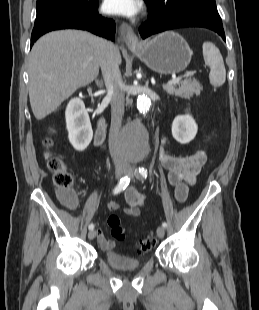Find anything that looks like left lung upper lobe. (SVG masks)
I'll use <instances>...</instances> for the list:
<instances>
[{"instance_id":"left-lung-upper-lobe-1","label":"left lung upper lobe","mask_w":259,"mask_h":310,"mask_svg":"<svg viewBox=\"0 0 259 310\" xmlns=\"http://www.w3.org/2000/svg\"><path fill=\"white\" fill-rule=\"evenodd\" d=\"M150 15L160 19L192 7L216 8L215 0H145Z\"/></svg>"}]
</instances>
